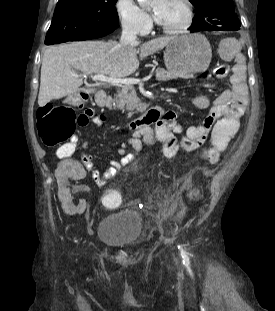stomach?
<instances>
[{"instance_id":"obj_1","label":"stomach","mask_w":275,"mask_h":311,"mask_svg":"<svg viewBox=\"0 0 275 311\" xmlns=\"http://www.w3.org/2000/svg\"><path fill=\"white\" fill-rule=\"evenodd\" d=\"M212 50L205 36L193 33L175 37L164 51L167 70L180 78H193L205 72L211 62Z\"/></svg>"}]
</instances>
